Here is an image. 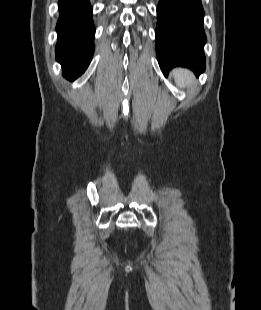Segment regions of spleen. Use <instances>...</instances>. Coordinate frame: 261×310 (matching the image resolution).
<instances>
[{
    "mask_svg": "<svg viewBox=\"0 0 261 310\" xmlns=\"http://www.w3.org/2000/svg\"><path fill=\"white\" fill-rule=\"evenodd\" d=\"M176 85L180 88H185L192 85L195 81L194 75L187 69L177 68L172 72Z\"/></svg>",
    "mask_w": 261,
    "mask_h": 310,
    "instance_id": "3e777b00",
    "label": "spleen"
}]
</instances>
